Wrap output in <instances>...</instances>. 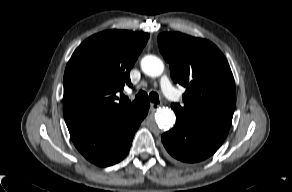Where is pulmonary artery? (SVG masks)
<instances>
[{"label": "pulmonary artery", "mask_w": 292, "mask_h": 192, "mask_svg": "<svg viewBox=\"0 0 292 192\" xmlns=\"http://www.w3.org/2000/svg\"><path fill=\"white\" fill-rule=\"evenodd\" d=\"M160 87L166 98H168L171 101H175L178 99V95L175 89L173 88L171 82L169 81L168 77L163 76L160 79Z\"/></svg>", "instance_id": "obj_1"}]
</instances>
